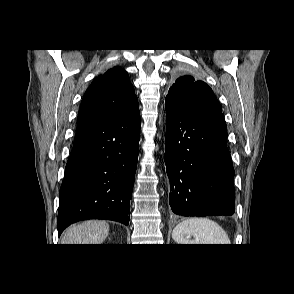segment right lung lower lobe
I'll return each mask as SVG.
<instances>
[{
	"mask_svg": "<svg viewBox=\"0 0 294 294\" xmlns=\"http://www.w3.org/2000/svg\"><path fill=\"white\" fill-rule=\"evenodd\" d=\"M139 138L138 100L111 117L78 123L59 192V235L87 219L129 224Z\"/></svg>",
	"mask_w": 294,
	"mask_h": 294,
	"instance_id": "1",
	"label": "right lung lower lobe"
}]
</instances>
